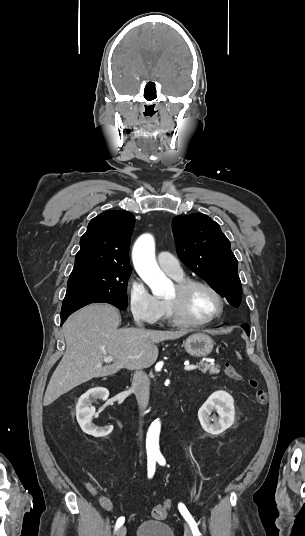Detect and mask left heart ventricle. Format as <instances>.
Listing matches in <instances>:
<instances>
[{
  "label": "left heart ventricle",
  "mask_w": 305,
  "mask_h": 536,
  "mask_svg": "<svg viewBox=\"0 0 305 536\" xmlns=\"http://www.w3.org/2000/svg\"><path fill=\"white\" fill-rule=\"evenodd\" d=\"M176 286L167 296L172 299L176 296ZM185 312L191 321H205L216 316L221 308L219 298L209 289L196 287L184 300Z\"/></svg>",
  "instance_id": "b2bd125f"
}]
</instances>
